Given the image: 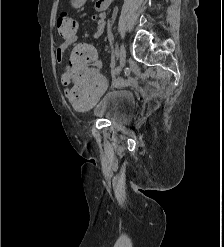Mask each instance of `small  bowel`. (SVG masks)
<instances>
[{
  "instance_id": "1",
  "label": "small bowel",
  "mask_w": 224,
  "mask_h": 247,
  "mask_svg": "<svg viewBox=\"0 0 224 247\" xmlns=\"http://www.w3.org/2000/svg\"><path fill=\"white\" fill-rule=\"evenodd\" d=\"M71 1H72V4L75 7H79L82 4H84V2L86 0H71ZM92 19H93V21L96 22V25H97V29H96V32L94 34V37L95 38H98L105 31V28H106V15H105L104 12L98 10V12L95 15L92 16ZM75 41H76V37L66 39L64 41V43L57 48L56 54H55V58H56V61L58 63H61L62 62L64 51L70 45H72L73 43H75ZM61 82H62V84H68V82H69V76H68V73L67 72H63L62 73V75H61ZM64 93H65V96L68 97L69 90L68 89H65Z\"/></svg>"
}]
</instances>
